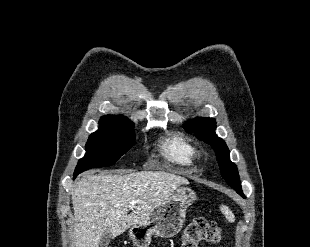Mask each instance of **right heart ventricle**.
Instances as JSON below:
<instances>
[{
	"label": "right heart ventricle",
	"mask_w": 310,
	"mask_h": 247,
	"mask_svg": "<svg viewBox=\"0 0 310 247\" xmlns=\"http://www.w3.org/2000/svg\"><path fill=\"white\" fill-rule=\"evenodd\" d=\"M165 157L181 166H191L199 158L198 148L182 135H173L162 142Z\"/></svg>",
	"instance_id": "obj_1"
}]
</instances>
